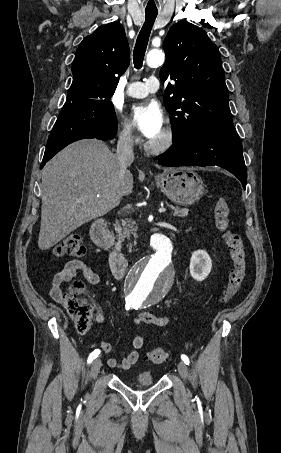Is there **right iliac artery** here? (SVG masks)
Instances as JSON below:
<instances>
[{"mask_svg":"<svg viewBox=\"0 0 281 453\" xmlns=\"http://www.w3.org/2000/svg\"><path fill=\"white\" fill-rule=\"evenodd\" d=\"M126 306V310H129L131 305H125ZM100 354V350L99 349H95L88 357V360H87V363L90 364L95 358L98 357V355Z\"/></svg>","mask_w":281,"mask_h":453,"instance_id":"obj_1","label":"right iliac artery"}]
</instances>
